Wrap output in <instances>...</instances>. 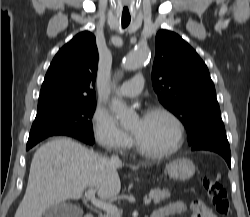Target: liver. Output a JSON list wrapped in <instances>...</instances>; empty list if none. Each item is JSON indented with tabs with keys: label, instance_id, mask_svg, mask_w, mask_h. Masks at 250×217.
Segmentation results:
<instances>
[{
	"label": "liver",
	"instance_id": "1",
	"mask_svg": "<svg viewBox=\"0 0 250 217\" xmlns=\"http://www.w3.org/2000/svg\"><path fill=\"white\" fill-rule=\"evenodd\" d=\"M114 164L68 138L40 146L32 159L26 192L15 217H42L45 211L67 199L78 200L84 189L95 187L101 199L117 196L121 189Z\"/></svg>",
	"mask_w": 250,
	"mask_h": 217
}]
</instances>
